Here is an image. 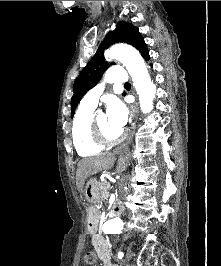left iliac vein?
<instances>
[{
    "instance_id": "obj_1",
    "label": "left iliac vein",
    "mask_w": 221,
    "mask_h": 266,
    "mask_svg": "<svg viewBox=\"0 0 221 266\" xmlns=\"http://www.w3.org/2000/svg\"><path fill=\"white\" fill-rule=\"evenodd\" d=\"M133 258V252L131 250H128L127 253H126V257H125V260L127 262L131 261Z\"/></svg>"
}]
</instances>
